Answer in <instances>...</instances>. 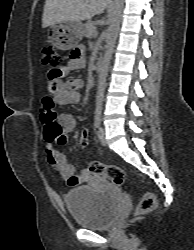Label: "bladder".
Instances as JSON below:
<instances>
[{
    "label": "bladder",
    "mask_w": 194,
    "mask_h": 250,
    "mask_svg": "<svg viewBox=\"0 0 194 250\" xmlns=\"http://www.w3.org/2000/svg\"><path fill=\"white\" fill-rule=\"evenodd\" d=\"M64 200L74 222L88 229L109 227L121 207L118 194L99 191L88 185L69 190Z\"/></svg>",
    "instance_id": "1"
}]
</instances>
